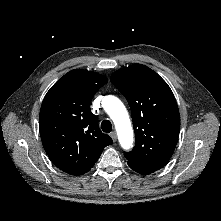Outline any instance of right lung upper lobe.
<instances>
[{"label": "right lung upper lobe", "mask_w": 221, "mask_h": 221, "mask_svg": "<svg viewBox=\"0 0 221 221\" xmlns=\"http://www.w3.org/2000/svg\"><path fill=\"white\" fill-rule=\"evenodd\" d=\"M108 79L96 72L74 69L47 92L40 110L43 147L51 161L71 175L88 172L103 149L113 143L103 134L90 110L95 93Z\"/></svg>", "instance_id": "cb5924a9"}]
</instances>
